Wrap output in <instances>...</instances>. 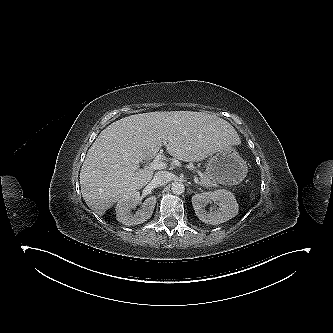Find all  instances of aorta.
Returning a JSON list of instances; mask_svg holds the SVG:
<instances>
[{"mask_svg": "<svg viewBox=\"0 0 333 333\" xmlns=\"http://www.w3.org/2000/svg\"><path fill=\"white\" fill-rule=\"evenodd\" d=\"M171 190L174 194L180 195L184 193L185 186L181 182H174L171 186Z\"/></svg>", "mask_w": 333, "mask_h": 333, "instance_id": "1", "label": "aorta"}]
</instances>
